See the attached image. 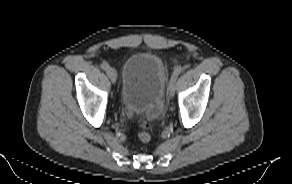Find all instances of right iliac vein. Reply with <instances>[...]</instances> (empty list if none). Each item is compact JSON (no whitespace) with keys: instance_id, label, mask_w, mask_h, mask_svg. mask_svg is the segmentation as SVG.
<instances>
[{"instance_id":"1","label":"right iliac vein","mask_w":292,"mask_h":184,"mask_svg":"<svg viewBox=\"0 0 292 184\" xmlns=\"http://www.w3.org/2000/svg\"><path fill=\"white\" fill-rule=\"evenodd\" d=\"M107 75L110 78V80L112 81V83H116L117 73H116V70L114 68H109L107 70Z\"/></svg>"}]
</instances>
